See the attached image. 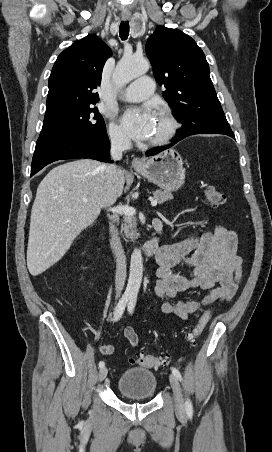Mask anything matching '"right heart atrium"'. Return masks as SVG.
<instances>
[{"instance_id":"d8ad5b80","label":"right heart atrium","mask_w":272,"mask_h":452,"mask_svg":"<svg viewBox=\"0 0 272 452\" xmlns=\"http://www.w3.org/2000/svg\"><path fill=\"white\" fill-rule=\"evenodd\" d=\"M108 135L111 142L119 147H125L129 143V139L124 130L113 122L108 125Z\"/></svg>"}]
</instances>
